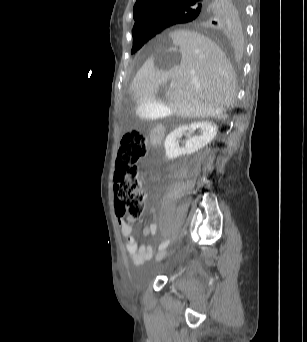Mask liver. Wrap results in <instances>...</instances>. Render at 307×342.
<instances>
[{
    "instance_id": "6515ba94",
    "label": "liver",
    "mask_w": 307,
    "mask_h": 342,
    "mask_svg": "<svg viewBox=\"0 0 307 342\" xmlns=\"http://www.w3.org/2000/svg\"><path fill=\"white\" fill-rule=\"evenodd\" d=\"M152 50L130 86L134 95H153L168 80L176 88L166 92L167 102L180 118L226 120L224 106H233L235 72L221 48L197 32L175 30Z\"/></svg>"
}]
</instances>
